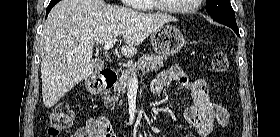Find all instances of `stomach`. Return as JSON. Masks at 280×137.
I'll use <instances>...</instances> for the list:
<instances>
[{"label":"stomach","instance_id":"1","mask_svg":"<svg viewBox=\"0 0 280 137\" xmlns=\"http://www.w3.org/2000/svg\"><path fill=\"white\" fill-rule=\"evenodd\" d=\"M152 47L162 56L178 53L184 46L185 40L179 29L164 25L150 35Z\"/></svg>","mask_w":280,"mask_h":137}]
</instances>
